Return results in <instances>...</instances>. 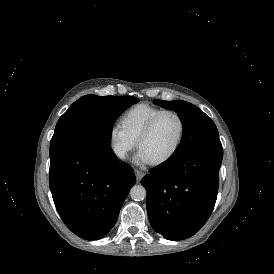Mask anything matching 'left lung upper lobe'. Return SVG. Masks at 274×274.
Listing matches in <instances>:
<instances>
[{"mask_svg": "<svg viewBox=\"0 0 274 274\" xmlns=\"http://www.w3.org/2000/svg\"><path fill=\"white\" fill-rule=\"evenodd\" d=\"M153 103L175 111L183 125L181 143L170 158L179 157L202 146L221 144L214 122L195 105L181 100L157 99Z\"/></svg>", "mask_w": 274, "mask_h": 274, "instance_id": "left-lung-upper-lobe-1", "label": "left lung upper lobe"}]
</instances>
